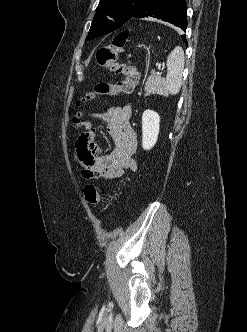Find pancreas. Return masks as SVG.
Returning a JSON list of instances; mask_svg holds the SVG:
<instances>
[{
  "label": "pancreas",
  "mask_w": 247,
  "mask_h": 332,
  "mask_svg": "<svg viewBox=\"0 0 247 332\" xmlns=\"http://www.w3.org/2000/svg\"><path fill=\"white\" fill-rule=\"evenodd\" d=\"M163 80L156 74L148 77L145 84L146 95L156 94L161 87Z\"/></svg>",
  "instance_id": "1"
}]
</instances>
